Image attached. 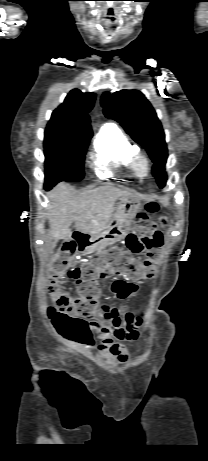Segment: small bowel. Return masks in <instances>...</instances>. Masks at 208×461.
<instances>
[{
  "label": "small bowel",
  "mask_w": 208,
  "mask_h": 461,
  "mask_svg": "<svg viewBox=\"0 0 208 461\" xmlns=\"http://www.w3.org/2000/svg\"><path fill=\"white\" fill-rule=\"evenodd\" d=\"M110 292L119 299H130L138 292V285L134 281L122 279L115 280L109 287ZM142 319L133 314L121 315L117 308L109 305L96 307L95 312L88 321L90 335L95 334L100 343L95 346L92 337L84 345L88 348L97 349L99 354L111 360L125 362L127 359L126 349L116 343L117 340H135L139 335Z\"/></svg>",
  "instance_id": "small-bowel-1"
}]
</instances>
